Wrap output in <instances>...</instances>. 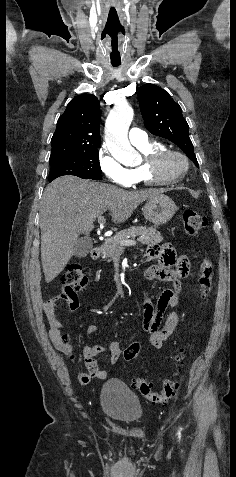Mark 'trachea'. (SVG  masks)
Wrapping results in <instances>:
<instances>
[{
    "label": "trachea",
    "instance_id": "3493384b",
    "mask_svg": "<svg viewBox=\"0 0 236 477\" xmlns=\"http://www.w3.org/2000/svg\"><path fill=\"white\" fill-rule=\"evenodd\" d=\"M113 67H118L120 63H112Z\"/></svg>",
    "mask_w": 236,
    "mask_h": 477
}]
</instances>
